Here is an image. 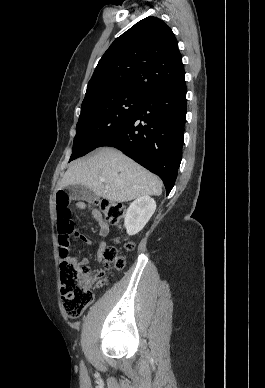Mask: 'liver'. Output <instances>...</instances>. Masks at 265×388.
Here are the masks:
<instances>
[{"instance_id": "1", "label": "liver", "mask_w": 265, "mask_h": 388, "mask_svg": "<svg viewBox=\"0 0 265 388\" xmlns=\"http://www.w3.org/2000/svg\"><path fill=\"white\" fill-rule=\"evenodd\" d=\"M104 178L105 182H100ZM80 184L110 202H129L140 196H161L162 182L115 148H101L89 160H76L65 172L58 190ZM108 186V188H106Z\"/></svg>"}]
</instances>
